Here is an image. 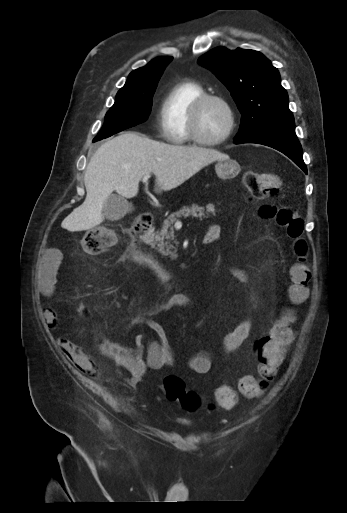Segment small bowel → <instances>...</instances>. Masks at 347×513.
<instances>
[{
	"label": "small bowel",
	"instance_id": "obj_1",
	"mask_svg": "<svg viewBox=\"0 0 347 513\" xmlns=\"http://www.w3.org/2000/svg\"><path fill=\"white\" fill-rule=\"evenodd\" d=\"M215 234L216 240L220 238V228L217 225H211L207 234ZM60 262V257L57 252H53L44 260L42 267L39 271V288L41 293L50 298L55 293L56 288V275ZM231 273L239 279L242 283L248 282V275L241 269L230 268ZM305 300V298L303 299ZM298 301V302H302ZM84 303H79L77 306L78 313L88 318V313L81 311V306ZM193 299L186 292L175 293L168 297L165 301L160 303L150 315L170 310L174 307H192ZM46 322L53 326L57 321V314L53 308H47L44 313ZM135 321L145 323L157 336V340H152L145 335H138L135 338L134 346L127 347L123 345H108L107 354L118 365L126 368L132 375L131 382L137 383L141 380L148 369H162L164 367H171L175 363L174 351L164 327L150 317H135ZM252 328V320L245 319L237 325L231 332L223 337L222 346L225 354H230L238 350L243 343L249 338ZM260 342L256 343L258 348ZM59 347L62 352L76 362L78 367L87 373H96L92 363L85 357L82 351L74 343L67 339L59 340ZM281 362V361H280ZM279 362V363H280ZM190 369L199 374L208 373L212 367V353L210 351H197L193 353L188 359Z\"/></svg>",
	"mask_w": 347,
	"mask_h": 513
}]
</instances>
